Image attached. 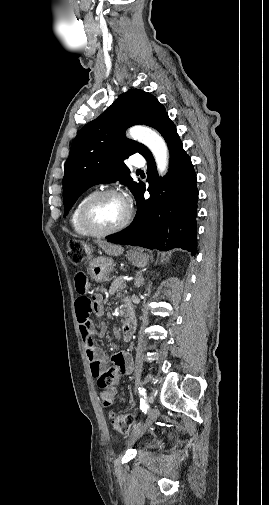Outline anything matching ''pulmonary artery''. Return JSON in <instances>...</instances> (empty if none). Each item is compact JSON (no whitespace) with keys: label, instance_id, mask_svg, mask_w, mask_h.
Instances as JSON below:
<instances>
[{"label":"pulmonary artery","instance_id":"1","mask_svg":"<svg viewBox=\"0 0 269 505\" xmlns=\"http://www.w3.org/2000/svg\"><path fill=\"white\" fill-rule=\"evenodd\" d=\"M131 164L137 168H141L144 166L145 162L142 158L140 157H134L131 161Z\"/></svg>","mask_w":269,"mask_h":505}]
</instances>
